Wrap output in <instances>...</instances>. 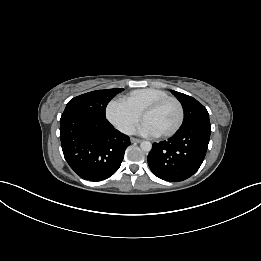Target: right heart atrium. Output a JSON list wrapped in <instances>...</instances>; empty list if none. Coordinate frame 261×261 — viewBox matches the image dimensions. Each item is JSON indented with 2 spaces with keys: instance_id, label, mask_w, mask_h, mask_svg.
I'll return each mask as SVG.
<instances>
[{
  "instance_id": "obj_1",
  "label": "right heart atrium",
  "mask_w": 261,
  "mask_h": 261,
  "mask_svg": "<svg viewBox=\"0 0 261 261\" xmlns=\"http://www.w3.org/2000/svg\"><path fill=\"white\" fill-rule=\"evenodd\" d=\"M106 117L115 128L124 134H131L140 120V114L119 98L108 103Z\"/></svg>"
}]
</instances>
